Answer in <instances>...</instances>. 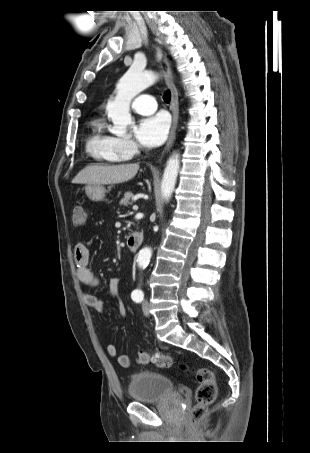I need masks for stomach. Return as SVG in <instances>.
I'll return each instance as SVG.
<instances>
[{"instance_id":"1","label":"stomach","mask_w":310,"mask_h":453,"mask_svg":"<svg viewBox=\"0 0 310 453\" xmlns=\"http://www.w3.org/2000/svg\"><path fill=\"white\" fill-rule=\"evenodd\" d=\"M86 195L92 201H100L103 199L105 189L101 185H88L85 188Z\"/></svg>"}]
</instances>
